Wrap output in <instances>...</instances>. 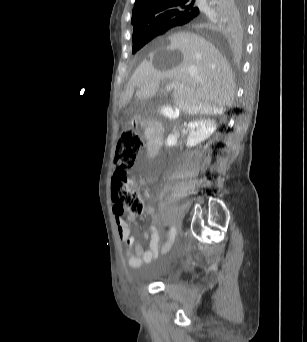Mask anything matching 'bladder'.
<instances>
[{
	"label": "bladder",
	"instance_id": "obj_1",
	"mask_svg": "<svg viewBox=\"0 0 307 342\" xmlns=\"http://www.w3.org/2000/svg\"><path fill=\"white\" fill-rule=\"evenodd\" d=\"M177 279L176 274L168 265H160L152 275V281L160 283H170Z\"/></svg>",
	"mask_w": 307,
	"mask_h": 342
}]
</instances>
